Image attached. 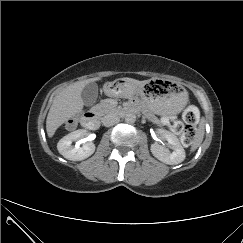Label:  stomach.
<instances>
[{"label":"stomach","mask_w":243,"mask_h":243,"mask_svg":"<svg viewBox=\"0 0 243 243\" xmlns=\"http://www.w3.org/2000/svg\"><path fill=\"white\" fill-rule=\"evenodd\" d=\"M134 86L124 79L108 82L104 89L106 93L118 96L124 89ZM140 95L148 107L159 115H176L180 113L188 102V93L176 82L154 79L144 85H138Z\"/></svg>","instance_id":"0dacf381"}]
</instances>
